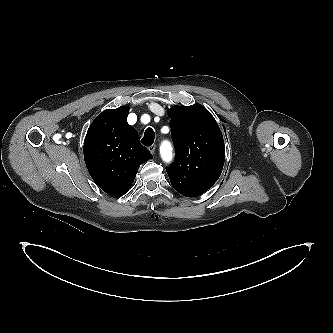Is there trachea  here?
I'll list each match as a JSON object with an SVG mask.
<instances>
[{"label": "trachea", "instance_id": "obj_1", "mask_svg": "<svg viewBox=\"0 0 333 333\" xmlns=\"http://www.w3.org/2000/svg\"><path fill=\"white\" fill-rule=\"evenodd\" d=\"M155 133L152 128H147L143 138L141 139L142 144L150 146L154 142Z\"/></svg>", "mask_w": 333, "mask_h": 333}]
</instances>
